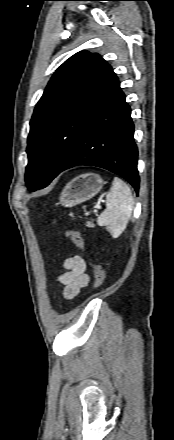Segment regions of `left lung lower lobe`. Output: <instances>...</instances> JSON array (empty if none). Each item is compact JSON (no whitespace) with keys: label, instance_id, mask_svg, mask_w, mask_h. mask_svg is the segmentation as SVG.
Here are the masks:
<instances>
[{"label":"left lung lower lobe","instance_id":"left-lung-lower-lobe-1","mask_svg":"<svg viewBox=\"0 0 174 440\" xmlns=\"http://www.w3.org/2000/svg\"><path fill=\"white\" fill-rule=\"evenodd\" d=\"M130 115L116 76L89 114L76 148L60 172L79 165L101 167L125 178L138 194V151Z\"/></svg>","mask_w":174,"mask_h":440}]
</instances>
